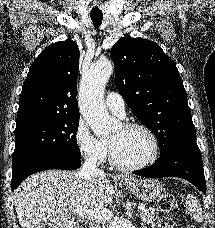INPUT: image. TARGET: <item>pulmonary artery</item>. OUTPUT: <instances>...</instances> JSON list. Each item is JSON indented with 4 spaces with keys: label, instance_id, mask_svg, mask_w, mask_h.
<instances>
[{
    "label": "pulmonary artery",
    "instance_id": "pulmonary-artery-1",
    "mask_svg": "<svg viewBox=\"0 0 215 228\" xmlns=\"http://www.w3.org/2000/svg\"><path fill=\"white\" fill-rule=\"evenodd\" d=\"M106 105L108 109L119 116L124 115L125 102L124 99L115 92H110L106 96Z\"/></svg>",
    "mask_w": 215,
    "mask_h": 228
}]
</instances>
